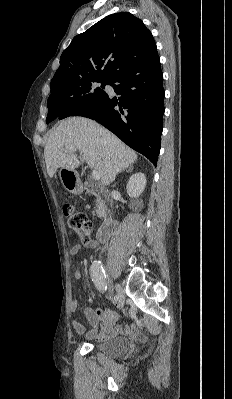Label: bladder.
I'll return each instance as SVG.
<instances>
[{
    "label": "bladder",
    "mask_w": 232,
    "mask_h": 399,
    "mask_svg": "<svg viewBox=\"0 0 232 399\" xmlns=\"http://www.w3.org/2000/svg\"><path fill=\"white\" fill-rule=\"evenodd\" d=\"M95 348L106 358L118 359L128 353L130 344L127 339L116 337L105 343L95 345Z\"/></svg>",
    "instance_id": "31cf9c89"
}]
</instances>
